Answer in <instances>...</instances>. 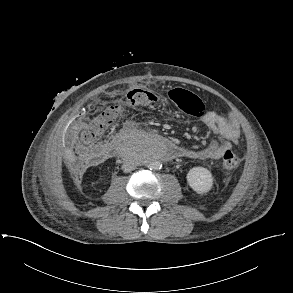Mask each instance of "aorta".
Listing matches in <instances>:
<instances>
[{"mask_svg":"<svg viewBox=\"0 0 293 293\" xmlns=\"http://www.w3.org/2000/svg\"><path fill=\"white\" fill-rule=\"evenodd\" d=\"M166 141L163 140V139H156V143H155V149H159L160 147H164L166 146ZM148 167L151 169V170H159L161 169L162 167V164L159 162V161H153V162H150Z\"/></svg>","mask_w":293,"mask_h":293,"instance_id":"762f6f07","label":"aorta"}]
</instances>
